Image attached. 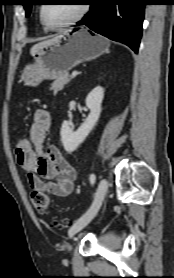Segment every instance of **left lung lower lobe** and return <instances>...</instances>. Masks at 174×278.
Masks as SVG:
<instances>
[{
    "mask_svg": "<svg viewBox=\"0 0 174 278\" xmlns=\"http://www.w3.org/2000/svg\"><path fill=\"white\" fill-rule=\"evenodd\" d=\"M90 11L77 22L129 46L137 53L146 0H88Z\"/></svg>",
    "mask_w": 174,
    "mask_h": 278,
    "instance_id": "0a47b994",
    "label": "left lung lower lobe"
}]
</instances>
